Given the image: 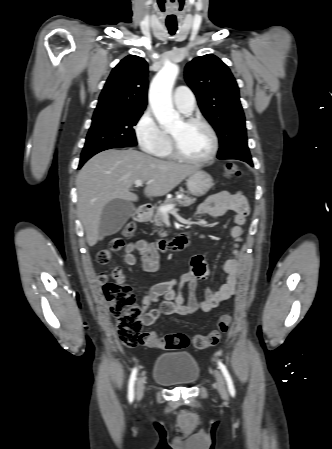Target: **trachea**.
<instances>
[{
	"label": "trachea",
	"instance_id": "3493384b",
	"mask_svg": "<svg viewBox=\"0 0 332 449\" xmlns=\"http://www.w3.org/2000/svg\"><path fill=\"white\" fill-rule=\"evenodd\" d=\"M168 31L171 35L175 34L177 27L176 26H167Z\"/></svg>",
	"mask_w": 332,
	"mask_h": 449
}]
</instances>
